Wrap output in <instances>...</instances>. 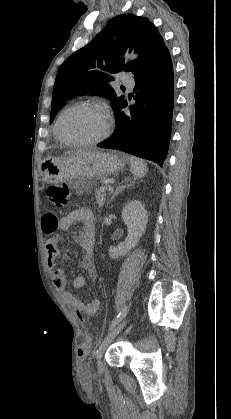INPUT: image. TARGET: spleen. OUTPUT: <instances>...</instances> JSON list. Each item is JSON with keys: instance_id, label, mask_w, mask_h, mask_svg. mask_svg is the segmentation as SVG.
<instances>
[{"instance_id": "spleen-1", "label": "spleen", "mask_w": 231, "mask_h": 419, "mask_svg": "<svg viewBox=\"0 0 231 419\" xmlns=\"http://www.w3.org/2000/svg\"><path fill=\"white\" fill-rule=\"evenodd\" d=\"M130 163L131 170L135 178H142L146 175L148 168L145 162H143V160L131 157Z\"/></svg>"}]
</instances>
